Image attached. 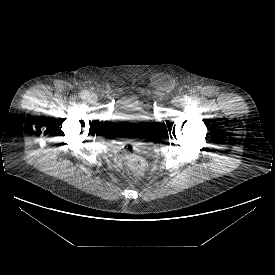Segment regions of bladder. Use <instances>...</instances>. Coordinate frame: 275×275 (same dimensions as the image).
Instances as JSON below:
<instances>
[{
	"instance_id": "bladder-1",
	"label": "bladder",
	"mask_w": 275,
	"mask_h": 275,
	"mask_svg": "<svg viewBox=\"0 0 275 275\" xmlns=\"http://www.w3.org/2000/svg\"><path fill=\"white\" fill-rule=\"evenodd\" d=\"M153 121L146 101L133 99L120 104L110 115L107 121L112 128L150 126Z\"/></svg>"
}]
</instances>
